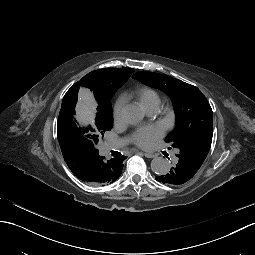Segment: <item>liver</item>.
<instances>
[{"label":"liver","mask_w":255,"mask_h":255,"mask_svg":"<svg viewBox=\"0 0 255 255\" xmlns=\"http://www.w3.org/2000/svg\"><path fill=\"white\" fill-rule=\"evenodd\" d=\"M80 101L78 103V119L80 122L87 124V123H94L95 117V107L96 103L93 100L92 96L86 90L80 91Z\"/></svg>","instance_id":"1"}]
</instances>
